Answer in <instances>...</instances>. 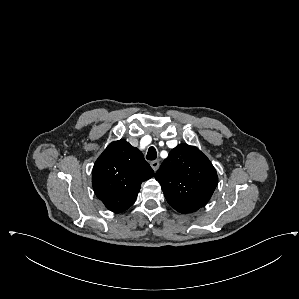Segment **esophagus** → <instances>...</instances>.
<instances>
[{"mask_svg": "<svg viewBox=\"0 0 299 299\" xmlns=\"http://www.w3.org/2000/svg\"><path fill=\"white\" fill-rule=\"evenodd\" d=\"M150 165H151V167H152V169H153L154 171H157L158 168H159V165H160L159 160H154V161H152V162L150 163Z\"/></svg>", "mask_w": 299, "mask_h": 299, "instance_id": "esophagus-1", "label": "esophagus"}]
</instances>
